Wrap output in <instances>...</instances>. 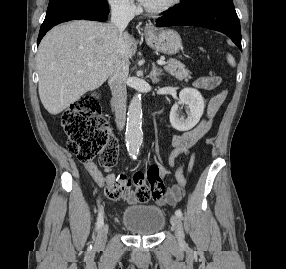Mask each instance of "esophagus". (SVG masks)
<instances>
[{
	"mask_svg": "<svg viewBox=\"0 0 286 269\" xmlns=\"http://www.w3.org/2000/svg\"><path fill=\"white\" fill-rule=\"evenodd\" d=\"M153 25L152 24H146V26H145V28H144V32L146 33V34H149V33H151L152 31H153Z\"/></svg>",
	"mask_w": 286,
	"mask_h": 269,
	"instance_id": "obj_1",
	"label": "esophagus"
}]
</instances>
